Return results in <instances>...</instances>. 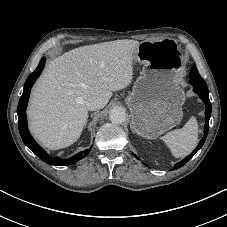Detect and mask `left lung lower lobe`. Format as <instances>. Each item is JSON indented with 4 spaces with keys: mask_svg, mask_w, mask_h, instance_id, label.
<instances>
[{
    "mask_svg": "<svg viewBox=\"0 0 227 227\" xmlns=\"http://www.w3.org/2000/svg\"><path fill=\"white\" fill-rule=\"evenodd\" d=\"M190 83L194 87L193 91L199 95V97L202 99V101L206 105V109H205L206 122H205L204 136H203L202 140L199 142L197 148H195V150L190 155H188L186 158H184L182 161L175 164L174 169H178V168L184 166L194 156V154L203 146V144L206 140L207 134H208V130H209V119L211 116V103L209 100L207 86H203L196 80H192V81H190Z\"/></svg>",
    "mask_w": 227,
    "mask_h": 227,
    "instance_id": "0a47b994",
    "label": "left lung lower lobe"
}]
</instances>
